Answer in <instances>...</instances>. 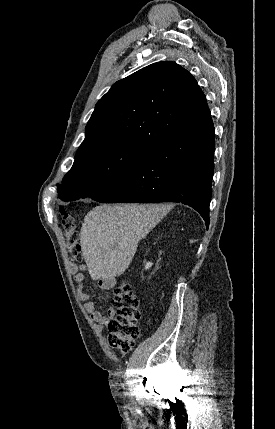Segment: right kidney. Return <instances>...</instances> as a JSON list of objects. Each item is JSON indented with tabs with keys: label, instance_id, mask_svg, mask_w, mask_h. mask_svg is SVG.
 I'll list each match as a JSON object with an SVG mask.
<instances>
[{
	"label": "right kidney",
	"instance_id": "right-kidney-1",
	"mask_svg": "<svg viewBox=\"0 0 275 429\" xmlns=\"http://www.w3.org/2000/svg\"><path fill=\"white\" fill-rule=\"evenodd\" d=\"M152 266V262H147L145 264V269H149Z\"/></svg>",
	"mask_w": 275,
	"mask_h": 429
}]
</instances>
